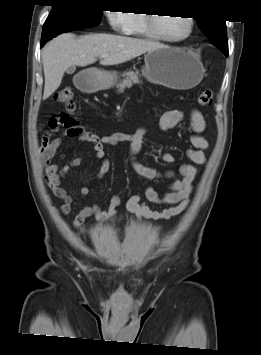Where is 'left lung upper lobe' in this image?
<instances>
[{
  "label": "left lung upper lobe",
  "mask_w": 261,
  "mask_h": 355,
  "mask_svg": "<svg viewBox=\"0 0 261 355\" xmlns=\"http://www.w3.org/2000/svg\"><path fill=\"white\" fill-rule=\"evenodd\" d=\"M195 20L209 41L219 48L227 57L228 43L226 22L223 20L206 18H195Z\"/></svg>",
  "instance_id": "1"
}]
</instances>
